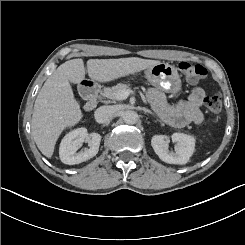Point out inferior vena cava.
Instances as JSON below:
<instances>
[{
  "label": "inferior vena cava",
  "mask_w": 245,
  "mask_h": 245,
  "mask_svg": "<svg viewBox=\"0 0 245 245\" xmlns=\"http://www.w3.org/2000/svg\"><path fill=\"white\" fill-rule=\"evenodd\" d=\"M114 111L110 106H101L94 112L95 121L98 123L106 122L113 115Z\"/></svg>",
  "instance_id": "inferior-vena-cava-1"
}]
</instances>
